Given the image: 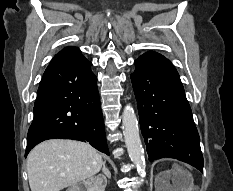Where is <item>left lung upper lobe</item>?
Masks as SVG:
<instances>
[{"mask_svg":"<svg viewBox=\"0 0 233 191\" xmlns=\"http://www.w3.org/2000/svg\"><path fill=\"white\" fill-rule=\"evenodd\" d=\"M147 53H155V52L150 51V52H147Z\"/></svg>","mask_w":233,"mask_h":191,"instance_id":"1","label":"left lung upper lobe"}]
</instances>
